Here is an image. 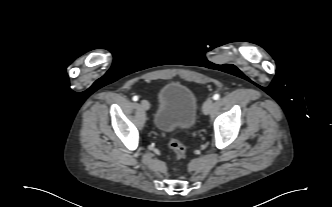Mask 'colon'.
Segmentation results:
<instances>
[{
  "instance_id": "obj_1",
  "label": "colon",
  "mask_w": 332,
  "mask_h": 207,
  "mask_svg": "<svg viewBox=\"0 0 332 207\" xmlns=\"http://www.w3.org/2000/svg\"><path fill=\"white\" fill-rule=\"evenodd\" d=\"M169 148L172 150L173 157L175 160H180L184 157L186 148H185L184 144L176 137H172L170 139Z\"/></svg>"
}]
</instances>
